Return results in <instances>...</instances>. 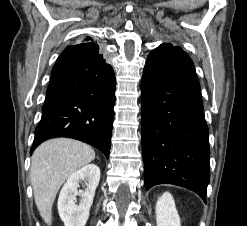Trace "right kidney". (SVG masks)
<instances>
[{
	"instance_id": "right-kidney-1",
	"label": "right kidney",
	"mask_w": 247,
	"mask_h": 226,
	"mask_svg": "<svg viewBox=\"0 0 247 226\" xmlns=\"http://www.w3.org/2000/svg\"><path fill=\"white\" fill-rule=\"evenodd\" d=\"M81 181L87 186L84 191H78ZM99 181L100 169L95 164L85 165L68 177L60 191L57 205L65 226H85ZM78 195L81 199L76 205L74 200Z\"/></svg>"
}]
</instances>
